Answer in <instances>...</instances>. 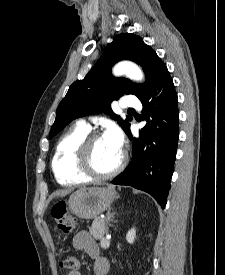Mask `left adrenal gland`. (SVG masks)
<instances>
[{
	"instance_id": "left-adrenal-gland-1",
	"label": "left adrenal gland",
	"mask_w": 225,
	"mask_h": 275,
	"mask_svg": "<svg viewBox=\"0 0 225 275\" xmlns=\"http://www.w3.org/2000/svg\"><path fill=\"white\" fill-rule=\"evenodd\" d=\"M114 214L115 213H111L110 210L106 214V224H107L106 231L107 232H108V229H109L110 221H112L113 218H114Z\"/></svg>"
}]
</instances>
